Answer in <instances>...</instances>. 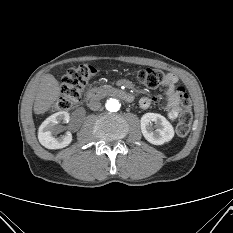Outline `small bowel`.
I'll list each match as a JSON object with an SVG mask.
<instances>
[{
	"label": "small bowel",
	"mask_w": 233,
	"mask_h": 233,
	"mask_svg": "<svg viewBox=\"0 0 233 233\" xmlns=\"http://www.w3.org/2000/svg\"><path fill=\"white\" fill-rule=\"evenodd\" d=\"M163 86L166 88V95L163 101V106L167 110V115L170 120H175L181 111V101L178 95V77L173 73H168L164 77ZM156 102V99L142 97L139 101L141 108L146 109Z\"/></svg>",
	"instance_id": "obj_1"
}]
</instances>
